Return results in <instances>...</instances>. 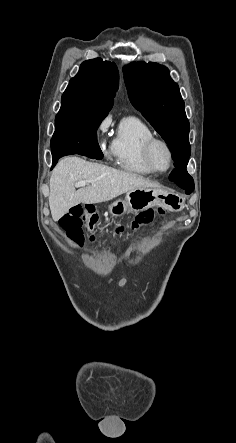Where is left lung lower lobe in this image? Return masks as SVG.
<instances>
[{
  "instance_id": "0a47b994",
  "label": "left lung lower lobe",
  "mask_w": 236,
  "mask_h": 443,
  "mask_svg": "<svg viewBox=\"0 0 236 443\" xmlns=\"http://www.w3.org/2000/svg\"><path fill=\"white\" fill-rule=\"evenodd\" d=\"M169 179L190 194L194 190L193 178L188 174L185 166L176 167L170 174Z\"/></svg>"
}]
</instances>
